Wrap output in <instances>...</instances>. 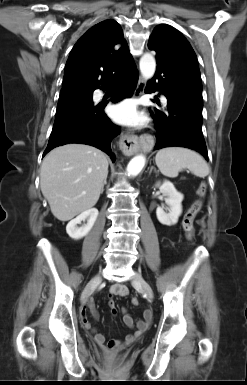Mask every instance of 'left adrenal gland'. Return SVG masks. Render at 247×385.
I'll list each match as a JSON object with an SVG mask.
<instances>
[{"mask_svg": "<svg viewBox=\"0 0 247 385\" xmlns=\"http://www.w3.org/2000/svg\"><path fill=\"white\" fill-rule=\"evenodd\" d=\"M152 170H154V171L157 173V171H156V168H155L154 166H152V167H151V169H150V172H149V173H151V172H152Z\"/></svg>", "mask_w": 247, "mask_h": 385, "instance_id": "1", "label": "left adrenal gland"}]
</instances>
